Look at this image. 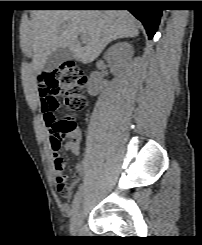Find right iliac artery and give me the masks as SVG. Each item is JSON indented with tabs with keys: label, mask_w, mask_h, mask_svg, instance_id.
Segmentation results:
<instances>
[{
	"label": "right iliac artery",
	"mask_w": 202,
	"mask_h": 245,
	"mask_svg": "<svg viewBox=\"0 0 202 245\" xmlns=\"http://www.w3.org/2000/svg\"><path fill=\"white\" fill-rule=\"evenodd\" d=\"M81 199H82V192H81V190H79L78 192H76V194L74 195V198H73L72 206L74 209L77 206H79Z\"/></svg>",
	"instance_id": "1"
}]
</instances>
